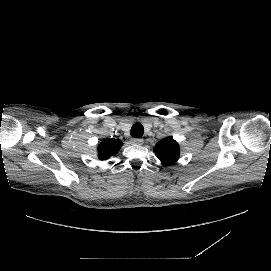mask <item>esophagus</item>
I'll list each match as a JSON object with an SVG mask.
<instances>
[{
	"label": "esophagus",
	"mask_w": 271,
	"mask_h": 271,
	"mask_svg": "<svg viewBox=\"0 0 271 271\" xmlns=\"http://www.w3.org/2000/svg\"><path fill=\"white\" fill-rule=\"evenodd\" d=\"M143 139L141 138H131L130 143L134 145H142L143 144Z\"/></svg>",
	"instance_id": "obj_1"
}]
</instances>
